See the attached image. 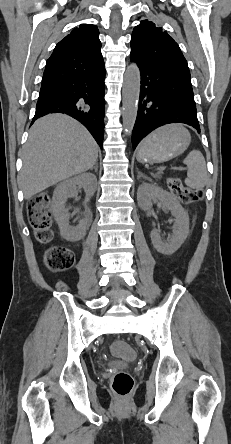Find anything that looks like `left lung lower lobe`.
Returning <instances> with one entry per match:
<instances>
[{
  "label": "left lung lower lobe",
  "mask_w": 231,
  "mask_h": 444,
  "mask_svg": "<svg viewBox=\"0 0 231 444\" xmlns=\"http://www.w3.org/2000/svg\"><path fill=\"white\" fill-rule=\"evenodd\" d=\"M137 65L142 85L132 133L133 149L143 137L164 124L185 123L200 132L191 83L166 68Z\"/></svg>",
  "instance_id": "0a47b994"
}]
</instances>
